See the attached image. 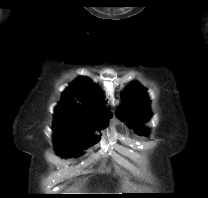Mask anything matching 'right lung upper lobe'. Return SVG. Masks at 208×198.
Wrapping results in <instances>:
<instances>
[{
	"label": "right lung upper lobe",
	"instance_id": "cb5924a9",
	"mask_svg": "<svg viewBox=\"0 0 208 198\" xmlns=\"http://www.w3.org/2000/svg\"><path fill=\"white\" fill-rule=\"evenodd\" d=\"M102 96V91L90 79L80 77L63 92L62 101L55 107L54 117L103 121L105 106Z\"/></svg>",
	"mask_w": 208,
	"mask_h": 198
}]
</instances>
